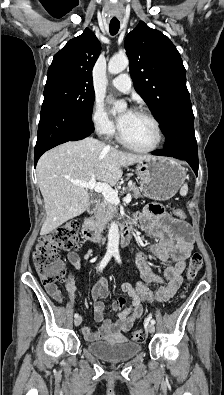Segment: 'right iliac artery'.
I'll use <instances>...</instances> for the list:
<instances>
[{"label": "right iliac artery", "mask_w": 224, "mask_h": 395, "mask_svg": "<svg viewBox=\"0 0 224 395\" xmlns=\"http://www.w3.org/2000/svg\"><path fill=\"white\" fill-rule=\"evenodd\" d=\"M112 254H113V252H111V251H107V252H106L104 258L102 259V261H101L100 264H99L98 271H102V270L105 268V266H106V265L108 264V262L110 261V259H111V257H112ZM74 317H75V318H78V317H79V314H78V313H75Z\"/></svg>", "instance_id": "82829eb1"}]
</instances>
